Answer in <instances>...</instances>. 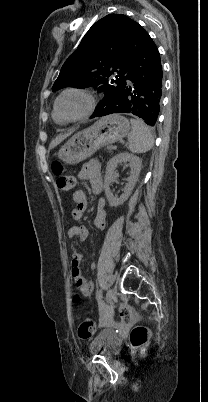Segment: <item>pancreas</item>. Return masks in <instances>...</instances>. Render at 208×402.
I'll use <instances>...</instances> for the list:
<instances>
[{
	"instance_id": "pancreas-1",
	"label": "pancreas",
	"mask_w": 208,
	"mask_h": 402,
	"mask_svg": "<svg viewBox=\"0 0 208 402\" xmlns=\"http://www.w3.org/2000/svg\"><path fill=\"white\" fill-rule=\"evenodd\" d=\"M107 150H110L111 152V150H113L112 146H107Z\"/></svg>"
}]
</instances>
